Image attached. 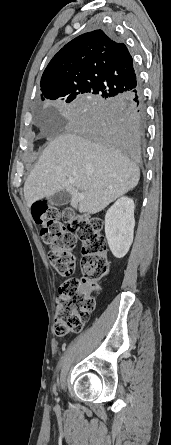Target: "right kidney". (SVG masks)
Returning <instances> with one entry per match:
<instances>
[{
	"mask_svg": "<svg viewBox=\"0 0 171 445\" xmlns=\"http://www.w3.org/2000/svg\"><path fill=\"white\" fill-rule=\"evenodd\" d=\"M134 201L123 196L119 198L105 215V234L112 254L116 258L124 257L133 242Z\"/></svg>",
	"mask_w": 171,
	"mask_h": 445,
	"instance_id": "1",
	"label": "right kidney"
}]
</instances>
